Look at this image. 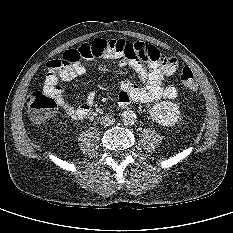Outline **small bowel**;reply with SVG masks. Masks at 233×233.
Here are the masks:
<instances>
[{
	"label": "small bowel",
	"mask_w": 233,
	"mask_h": 233,
	"mask_svg": "<svg viewBox=\"0 0 233 233\" xmlns=\"http://www.w3.org/2000/svg\"><path fill=\"white\" fill-rule=\"evenodd\" d=\"M123 49L109 51L104 55L107 58H116L121 67L129 66L137 73L142 85L132 84L128 80L120 83L118 101L121 106H127L131 102L151 103L161 98L172 100L178 95L173 85H165V76L173 74L178 68L177 59L173 56L164 55L155 46L142 42H130L121 40ZM51 61V60H50ZM46 63L47 75L44 90L51 92L57 99L58 106L70 117L76 120L86 119L91 115L95 94H86L85 101L79 107L68 104L63 96L60 81L70 82L87 72L81 64H76L69 69L58 71Z\"/></svg>",
	"instance_id": "small-bowel-1"
}]
</instances>
